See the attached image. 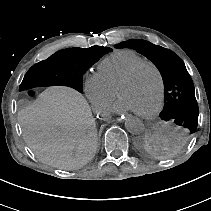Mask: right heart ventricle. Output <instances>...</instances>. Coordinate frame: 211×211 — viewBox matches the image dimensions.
I'll list each match as a JSON object with an SVG mask.
<instances>
[{"label": "right heart ventricle", "instance_id": "1", "mask_svg": "<svg viewBox=\"0 0 211 211\" xmlns=\"http://www.w3.org/2000/svg\"><path fill=\"white\" fill-rule=\"evenodd\" d=\"M145 58L132 51H122L103 59L98 64V74L115 91L117 82Z\"/></svg>", "mask_w": 211, "mask_h": 211}]
</instances>
